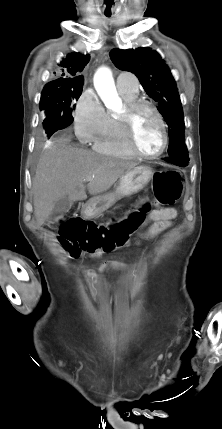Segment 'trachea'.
Here are the masks:
<instances>
[{"label":"trachea","instance_id":"obj_1","mask_svg":"<svg viewBox=\"0 0 222 429\" xmlns=\"http://www.w3.org/2000/svg\"><path fill=\"white\" fill-rule=\"evenodd\" d=\"M111 14H106L107 17H109Z\"/></svg>","mask_w":222,"mask_h":429}]
</instances>
